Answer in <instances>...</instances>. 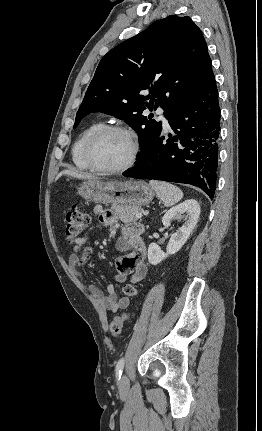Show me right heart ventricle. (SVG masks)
Returning <instances> with one entry per match:
<instances>
[{"label": "right heart ventricle", "instance_id": "right-heart-ventricle-1", "mask_svg": "<svg viewBox=\"0 0 262 431\" xmlns=\"http://www.w3.org/2000/svg\"><path fill=\"white\" fill-rule=\"evenodd\" d=\"M103 126L104 125L101 121L92 123L78 135L75 142L73 143L71 149V159L73 165L78 170L92 171L85 161L84 150L89 137Z\"/></svg>", "mask_w": 262, "mask_h": 431}]
</instances>
